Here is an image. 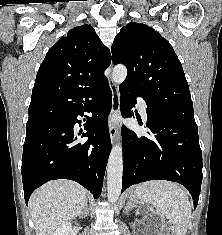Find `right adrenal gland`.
<instances>
[{"instance_id":"right-adrenal-gland-1","label":"right adrenal gland","mask_w":222,"mask_h":235,"mask_svg":"<svg viewBox=\"0 0 222 235\" xmlns=\"http://www.w3.org/2000/svg\"><path fill=\"white\" fill-rule=\"evenodd\" d=\"M88 215V201L86 200L85 205L79 216L86 217Z\"/></svg>"}]
</instances>
